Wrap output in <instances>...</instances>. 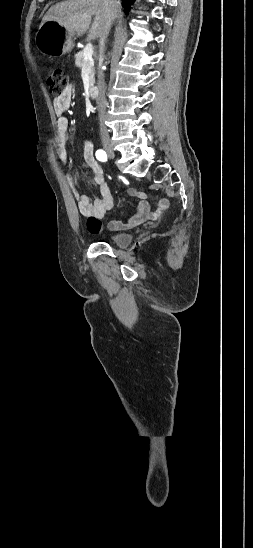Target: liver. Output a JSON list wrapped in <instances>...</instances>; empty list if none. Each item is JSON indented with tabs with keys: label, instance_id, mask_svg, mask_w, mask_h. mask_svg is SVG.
I'll list each match as a JSON object with an SVG mask.
<instances>
[{
	"label": "liver",
	"instance_id": "obj_1",
	"mask_svg": "<svg viewBox=\"0 0 253 548\" xmlns=\"http://www.w3.org/2000/svg\"><path fill=\"white\" fill-rule=\"evenodd\" d=\"M92 16L94 21L90 27ZM47 21L58 22L70 37L82 35L89 30V39H96L104 23L102 0H67L57 3L48 9L41 25Z\"/></svg>",
	"mask_w": 253,
	"mask_h": 548
}]
</instances>
